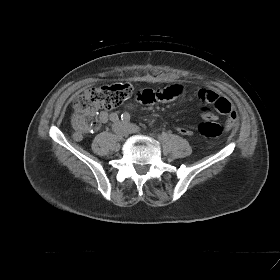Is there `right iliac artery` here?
Listing matches in <instances>:
<instances>
[{"label": "right iliac artery", "instance_id": "right-iliac-artery-1", "mask_svg": "<svg viewBox=\"0 0 280 280\" xmlns=\"http://www.w3.org/2000/svg\"><path fill=\"white\" fill-rule=\"evenodd\" d=\"M118 115L116 113L110 114V120L116 122L118 120Z\"/></svg>", "mask_w": 280, "mask_h": 280}]
</instances>
